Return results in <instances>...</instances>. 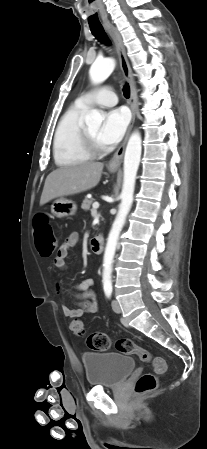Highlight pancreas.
<instances>
[{"mask_svg":"<svg viewBox=\"0 0 207 449\" xmlns=\"http://www.w3.org/2000/svg\"><path fill=\"white\" fill-rule=\"evenodd\" d=\"M94 199L93 198H85L83 200V203L81 205V208L85 211L90 210V207L93 203Z\"/></svg>","mask_w":207,"mask_h":449,"instance_id":"1","label":"pancreas"}]
</instances>
